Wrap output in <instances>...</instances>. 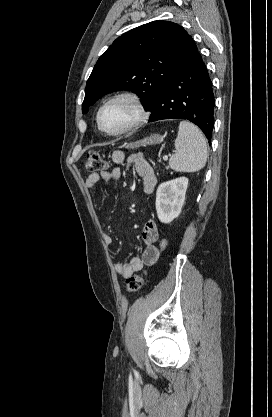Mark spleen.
Returning a JSON list of instances; mask_svg holds the SVG:
<instances>
[{
	"label": "spleen",
	"instance_id": "obj_1",
	"mask_svg": "<svg viewBox=\"0 0 272 417\" xmlns=\"http://www.w3.org/2000/svg\"><path fill=\"white\" fill-rule=\"evenodd\" d=\"M175 153L169 160V166L176 172H196L201 170L207 161V144L202 132L192 123L181 121Z\"/></svg>",
	"mask_w": 272,
	"mask_h": 417
}]
</instances>
